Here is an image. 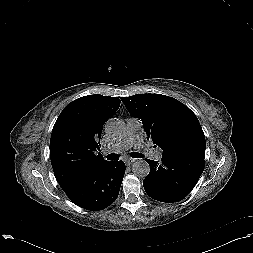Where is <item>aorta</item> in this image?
Instances as JSON below:
<instances>
[{
	"label": "aorta",
	"instance_id": "762f6f07",
	"mask_svg": "<svg viewBox=\"0 0 253 253\" xmlns=\"http://www.w3.org/2000/svg\"><path fill=\"white\" fill-rule=\"evenodd\" d=\"M125 124L121 120H109L105 124V132L111 136H117L123 132ZM132 172L139 178H145L150 172V166L144 159L136 160L132 165Z\"/></svg>",
	"mask_w": 253,
	"mask_h": 253
}]
</instances>
